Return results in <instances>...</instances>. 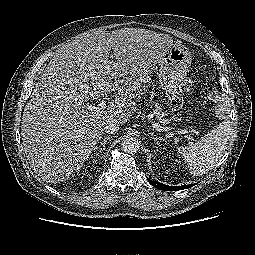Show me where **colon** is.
I'll return each instance as SVG.
<instances>
[{"label": "colon", "mask_w": 255, "mask_h": 255, "mask_svg": "<svg viewBox=\"0 0 255 255\" xmlns=\"http://www.w3.org/2000/svg\"><path fill=\"white\" fill-rule=\"evenodd\" d=\"M188 87L189 84L187 82L183 83L180 87V92L175 93L170 97L169 103L174 112L175 118H179L180 116V109L183 105L182 92L186 91ZM207 93L211 99H215L218 95V91L215 88H209Z\"/></svg>", "instance_id": "1"}]
</instances>
